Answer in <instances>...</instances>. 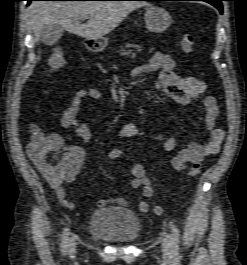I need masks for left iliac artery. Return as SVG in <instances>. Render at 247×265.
Here are the masks:
<instances>
[{
    "label": "left iliac artery",
    "mask_w": 247,
    "mask_h": 265,
    "mask_svg": "<svg viewBox=\"0 0 247 265\" xmlns=\"http://www.w3.org/2000/svg\"><path fill=\"white\" fill-rule=\"evenodd\" d=\"M170 228H171V232H172V244H171V247H172V253L176 256L178 255V252H179V230L177 228L176 225L174 224H171L170 225Z\"/></svg>",
    "instance_id": "44dca946"
}]
</instances>
